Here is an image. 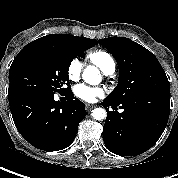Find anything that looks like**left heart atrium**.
I'll return each mask as SVG.
<instances>
[{"label":"left heart atrium","instance_id":"left-heart-atrium-1","mask_svg":"<svg viewBox=\"0 0 178 178\" xmlns=\"http://www.w3.org/2000/svg\"><path fill=\"white\" fill-rule=\"evenodd\" d=\"M75 95L86 102H94L104 95L102 88L90 87L85 84H78L74 88Z\"/></svg>","mask_w":178,"mask_h":178}]
</instances>
